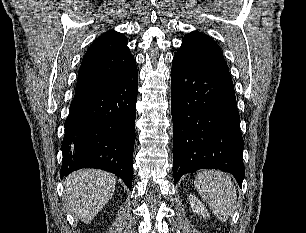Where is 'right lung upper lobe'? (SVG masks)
I'll use <instances>...</instances> for the list:
<instances>
[{"instance_id": "1", "label": "right lung upper lobe", "mask_w": 306, "mask_h": 233, "mask_svg": "<svg viewBox=\"0 0 306 233\" xmlns=\"http://www.w3.org/2000/svg\"><path fill=\"white\" fill-rule=\"evenodd\" d=\"M127 43L126 36L114 30L94 40L78 71L75 97L108 88L121 81L136 67Z\"/></svg>"}]
</instances>
